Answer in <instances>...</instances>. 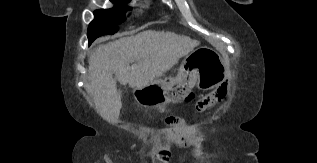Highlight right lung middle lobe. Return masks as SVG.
<instances>
[{
    "mask_svg": "<svg viewBox=\"0 0 317 163\" xmlns=\"http://www.w3.org/2000/svg\"><path fill=\"white\" fill-rule=\"evenodd\" d=\"M116 3V7L107 10H96L94 13L95 19L88 27V41L89 45L99 36L114 34L119 24L125 20L124 13L126 9L123 4L128 3L130 0H110Z\"/></svg>",
    "mask_w": 317,
    "mask_h": 163,
    "instance_id": "1",
    "label": "right lung middle lobe"
}]
</instances>
